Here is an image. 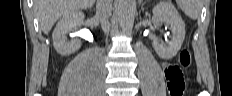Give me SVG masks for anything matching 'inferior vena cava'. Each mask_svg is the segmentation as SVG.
<instances>
[{
    "label": "inferior vena cava",
    "instance_id": "obj_1",
    "mask_svg": "<svg viewBox=\"0 0 232 96\" xmlns=\"http://www.w3.org/2000/svg\"><path fill=\"white\" fill-rule=\"evenodd\" d=\"M112 0H97L96 16L100 19L104 32H108L107 20L111 14Z\"/></svg>",
    "mask_w": 232,
    "mask_h": 96
}]
</instances>
